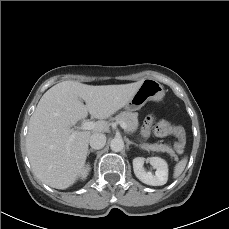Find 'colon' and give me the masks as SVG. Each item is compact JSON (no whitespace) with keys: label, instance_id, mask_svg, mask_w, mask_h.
<instances>
[{"label":"colon","instance_id":"colon-1","mask_svg":"<svg viewBox=\"0 0 229 229\" xmlns=\"http://www.w3.org/2000/svg\"><path fill=\"white\" fill-rule=\"evenodd\" d=\"M155 133L161 137L175 136L177 139L178 150H182L185 146L186 136L182 127L175 126L167 120H160L155 126Z\"/></svg>","mask_w":229,"mask_h":229}]
</instances>
